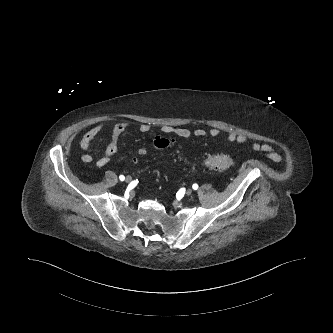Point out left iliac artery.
Returning a JSON list of instances; mask_svg holds the SVG:
<instances>
[{
  "label": "left iliac artery",
  "mask_w": 333,
  "mask_h": 333,
  "mask_svg": "<svg viewBox=\"0 0 333 333\" xmlns=\"http://www.w3.org/2000/svg\"><path fill=\"white\" fill-rule=\"evenodd\" d=\"M192 188H193L194 190H197V189H198V185L195 183V184L192 185Z\"/></svg>",
  "instance_id": "1"
}]
</instances>
